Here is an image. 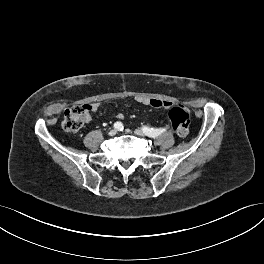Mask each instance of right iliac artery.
<instances>
[{
  "label": "right iliac artery",
  "instance_id": "right-iliac-artery-1",
  "mask_svg": "<svg viewBox=\"0 0 264 264\" xmlns=\"http://www.w3.org/2000/svg\"><path fill=\"white\" fill-rule=\"evenodd\" d=\"M113 126H114V128H116L118 130L123 129V124L120 121L115 122Z\"/></svg>",
  "mask_w": 264,
  "mask_h": 264
}]
</instances>
